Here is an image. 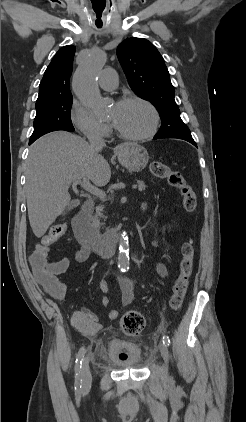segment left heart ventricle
<instances>
[{"instance_id":"obj_1","label":"left heart ventricle","mask_w":246,"mask_h":422,"mask_svg":"<svg viewBox=\"0 0 246 422\" xmlns=\"http://www.w3.org/2000/svg\"><path fill=\"white\" fill-rule=\"evenodd\" d=\"M109 119L119 130L131 135L145 133L152 123L151 112L140 103L114 105L109 112Z\"/></svg>"}]
</instances>
